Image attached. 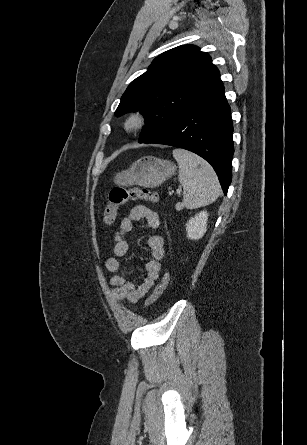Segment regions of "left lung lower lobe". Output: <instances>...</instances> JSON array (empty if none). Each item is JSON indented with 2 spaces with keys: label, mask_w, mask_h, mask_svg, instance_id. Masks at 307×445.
<instances>
[{
  "label": "left lung lower lobe",
  "mask_w": 307,
  "mask_h": 445,
  "mask_svg": "<svg viewBox=\"0 0 307 445\" xmlns=\"http://www.w3.org/2000/svg\"><path fill=\"white\" fill-rule=\"evenodd\" d=\"M233 126L221 84L142 143L165 144L192 151L216 171L224 194L232 179Z\"/></svg>",
  "instance_id": "obj_1"
}]
</instances>
